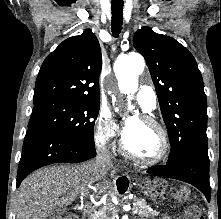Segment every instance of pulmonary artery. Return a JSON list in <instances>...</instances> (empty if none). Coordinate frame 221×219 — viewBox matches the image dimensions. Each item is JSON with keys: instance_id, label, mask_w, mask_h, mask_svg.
Segmentation results:
<instances>
[{"instance_id": "pulmonary-artery-1", "label": "pulmonary artery", "mask_w": 221, "mask_h": 219, "mask_svg": "<svg viewBox=\"0 0 221 219\" xmlns=\"http://www.w3.org/2000/svg\"><path fill=\"white\" fill-rule=\"evenodd\" d=\"M136 98L145 111H152L156 108V96L151 88L141 87L136 94Z\"/></svg>"}]
</instances>
